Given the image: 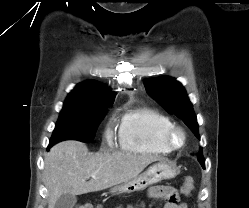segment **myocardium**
I'll use <instances>...</instances> for the list:
<instances>
[{"mask_svg":"<svg viewBox=\"0 0 249 208\" xmlns=\"http://www.w3.org/2000/svg\"><path fill=\"white\" fill-rule=\"evenodd\" d=\"M177 136L181 138L179 142L176 141ZM163 140L170 150H179L186 145L187 134L182 127L173 125L165 131Z\"/></svg>","mask_w":249,"mask_h":208,"instance_id":"f54148a6","label":"myocardium"}]
</instances>
